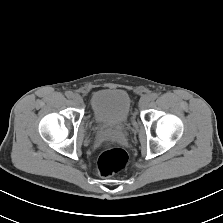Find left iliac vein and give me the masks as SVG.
Wrapping results in <instances>:
<instances>
[{
	"label": "left iliac vein",
	"mask_w": 223,
	"mask_h": 223,
	"mask_svg": "<svg viewBox=\"0 0 223 223\" xmlns=\"http://www.w3.org/2000/svg\"><path fill=\"white\" fill-rule=\"evenodd\" d=\"M149 102H150V97L147 95L143 96L139 101V108L145 109L147 105L149 104Z\"/></svg>",
	"instance_id": "left-iliac-vein-1"
}]
</instances>
